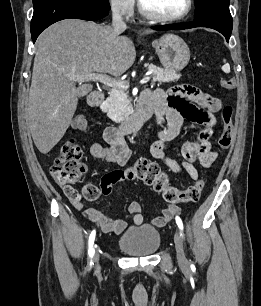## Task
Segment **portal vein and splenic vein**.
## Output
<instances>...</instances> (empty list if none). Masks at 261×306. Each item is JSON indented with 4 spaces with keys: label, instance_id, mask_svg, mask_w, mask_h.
<instances>
[{
    "label": "portal vein and splenic vein",
    "instance_id": "portal-vein-and-splenic-vein-1",
    "mask_svg": "<svg viewBox=\"0 0 261 306\" xmlns=\"http://www.w3.org/2000/svg\"><path fill=\"white\" fill-rule=\"evenodd\" d=\"M70 79L76 81V82H83V81H99L103 83L104 85H107L111 88H128L129 84L125 81H119L114 78L109 77L105 74L100 73H90L85 75H72ZM151 77L147 76L144 77L140 83L145 84L149 82Z\"/></svg>",
    "mask_w": 261,
    "mask_h": 306
}]
</instances>
